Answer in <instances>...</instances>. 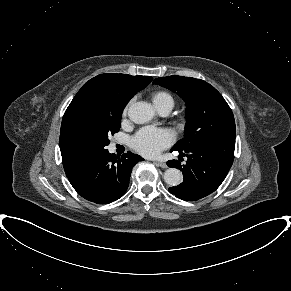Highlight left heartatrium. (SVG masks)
Returning <instances> with one entry per match:
<instances>
[{"mask_svg":"<svg viewBox=\"0 0 291 291\" xmlns=\"http://www.w3.org/2000/svg\"><path fill=\"white\" fill-rule=\"evenodd\" d=\"M173 142L172 133L163 128L144 127L130 140V145L140 154L154 157Z\"/></svg>","mask_w":291,"mask_h":291,"instance_id":"left-heart-atrium-1","label":"left heart atrium"}]
</instances>
